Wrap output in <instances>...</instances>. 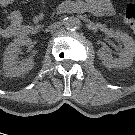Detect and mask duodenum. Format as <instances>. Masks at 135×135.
<instances>
[{
  "instance_id": "duodenum-1",
  "label": "duodenum",
  "mask_w": 135,
  "mask_h": 135,
  "mask_svg": "<svg viewBox=\"0 0 135 135\" xmlns=\"http://www.w3.org/2000/svg\"><path fill=\"white\" fill-rule=\"evenodd\" d=\"M25 32L32 33L33 32V29L31 27H28L27 29L24 28V33Z\"/></svg>"
}]
</instances>
